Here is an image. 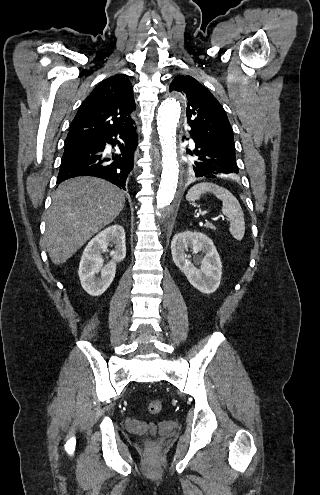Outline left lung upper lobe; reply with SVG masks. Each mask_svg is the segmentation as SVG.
<instances>
[{"mask_svg": "<svg viewBox=\"0 0 320 495\" xmlns=\"http://www.w3.org/2000/svg\"><path fill=\"white\" fill-rule=\"evenodd\" d=\"M169 91L182 93L187 99V123L190 132L202 141L235 155L233 131L227 115L211 92L189 75H177ZM193 158L189 162L190 173L197 156L194 150H187Z\"/></svg>", "mask_w": 320, "mask_h": 495, "instance_id": "left-lung-upper-lobe-1", "label": "left lung upper lobe"}]
</instances>
